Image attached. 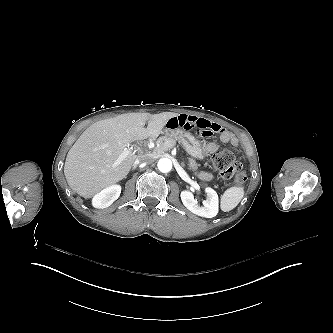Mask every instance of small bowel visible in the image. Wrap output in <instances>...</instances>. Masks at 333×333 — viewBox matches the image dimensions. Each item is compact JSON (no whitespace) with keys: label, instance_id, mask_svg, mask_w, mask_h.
I'll list each match as a JSON object with an SVG mask.
<instances>
[{"label":"small bowel","instance_id":"1","mask_svg":"<svg viewBox=\"0 0 333 333\" xmlns=\"http://www.w3.org/2000/svg\"><path fill=\"white\" fill-rule=\"evenodd\" d=\"M169 129H188L194 130L199 136H212L221 133L220 140L223 143L231 144L235 149L239 148L238 138L231 132L225 131L220 125L210 122L206 119L187 114H179L170 118L167 122ZM216 143H209L206 145L205 150L207 153H213L217 150ZM202 179H208L209 175L201 173L199 175Z\"/></svg>","mask_w":333,"mask_h":333}]
</instances>
